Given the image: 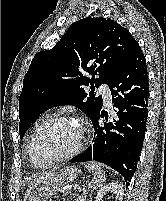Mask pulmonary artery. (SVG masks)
Returning a JSON list of instances; mask_svg holds the SVG:
<instances>
[{
  "instance_id": "obj_1",
  "label": "pulmonary artery",
  "mask_w": 166,
  "mask_h": 201,
  "mask_svg": "<svg viewBox=\"0 0 166 201\" xmlns=\"http://www.w3.org/2000/svg\"><path fill=\"white\" fill-rule=\"evenodd\" d=\"M99 93L102 95L104 102L107 106L111 105V92L106 85H102L98 89Z\"/></svg>"
}]
</instances>
